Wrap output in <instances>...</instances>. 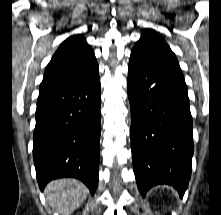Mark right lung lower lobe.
<instances>
[{
	"instance_id": "right-lung-lower-lobe-1",
	"label": "right lung lower lobe",
	"mask_w": 221,
	"mask_h": 215,
	"mask_svg": "<svg viewBox=\"0 0 221 215\" xmlns=\"http://www.w3.org/2000/svg\"><path fill=\"white\" fill-rule=\"evenodd\" d=\"M100 101L98 70L38 98L33 159L41 191L51 180L73 177L94 194L99 176Z\"/></svg>"
}]
</instances>
